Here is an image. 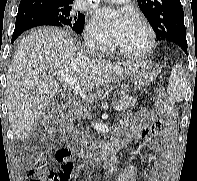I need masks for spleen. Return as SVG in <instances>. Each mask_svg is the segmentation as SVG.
Returning <instances> with one entry per match:
<instances>
[{
    "label": "spleen",
    "mask_w": 197,
    "mask_h": 181,
    "mask_svg": "<svg viewBox=\"0 0 197 181\" xmlns=\"http://www.w3.org/2000/svg\"><path fill=\"white\" fill-rule=\"evenodd\" d=\"M187 90V79L181 64H176L172 68L169 78L167 93L173 102H180L184 99Z\"/></svg>",
    "instance_id": "1"
}]
</instances>
